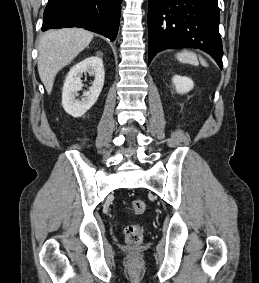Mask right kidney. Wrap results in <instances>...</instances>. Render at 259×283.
Listing matches in <instances>:
<instances>
[{"instance_id": "right-kidney-1", "label": "right kidney", "mask_w": 259, "mask_h": 283, "mask_svg": "<svg viewBox=\"0 0 259 283\" xmlns=\"http://www.w3.org/2000/svg\"><path fill=\"white\" fill-rule=\"evenodd\" d=\"M94 76L92 86L83 93L84 98L78 100V92L82 90V74ZM104 66L101 58L91 56L74 65L64 82L62 105L64 110L73 117L83 116L97 101L104 85Z\"/></svg>"}]
</instances>
